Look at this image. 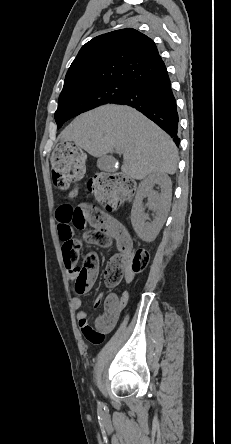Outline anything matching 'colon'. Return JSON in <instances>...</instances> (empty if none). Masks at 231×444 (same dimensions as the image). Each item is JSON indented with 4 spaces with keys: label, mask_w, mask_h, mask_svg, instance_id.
Here are the masks:
<instances>
[{
    "label": "colon",
    "mask_w": 231,
    "mask_h": 444,
    "mask_svg": "<svg viewBox=\"0 0 231 444\" xmlns=\"http://www.w3.org/2000/svg\"><path fill=\"white\" fill-rule=\"evenodd\" d=\"M84 156L80 149L70 144H60L51 157V174L54 185L61 191L74 195L83 174ZM89 190L94 193L100 204L108 211L115 210L122 202L129 199L135 191V182L124 174H100L88 183ZM100 211H88L80 208L70 209L65 217L67 222L79 230L92 226L99 218ZM77 253L66 250L63 254L66 268H76L74 280L75 291L85 293L92 285L98 270V257L89 253L81 268L76 267ZM149 252L138 249L134 253L120 250L112 256L104 274L105 282L110 287L117 286L126 271L142 272L148 265Z\"/></svg>",
    "instance_id": "obj_1"
}]
</instances>
